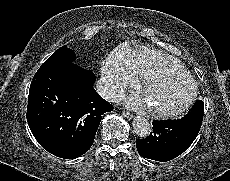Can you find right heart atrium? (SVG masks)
<instances>
[{
  "instance_id": "1",
  "label": "right heart atrium",
  "mask_w": 230,
  "mask_h": 181,
  "mask_svg": "<svg viewBox=\"0 0 230 181\" xmlns=\"http://www.w3.org/2000/svg\"><path fill=\"white\" fill-rule=\"evenodd\" d=\"M135 75L123 68L114 66L109 59L103 61L101 66V84L106 95L117 97L127 88L135 84Z\"/></svg>"
}]
</instances>
